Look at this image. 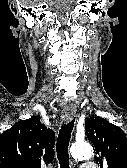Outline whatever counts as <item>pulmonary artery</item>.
<instances>
[{"mask_svg": "<svg viewBox=\"0 0 127 168\" xmlns=\"http://www.w3.org/2000/svg\"><path fill=\"white\" fill-rule=\"evenodd\" d=\"M80 168H97L93 163H84L80 166Z\"/></svg>", "mask_w": 127, "mask_h": 168, "instance_id": "1", "label": "pulmonary artery"}]
</instances>
